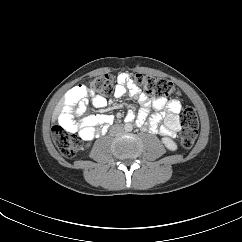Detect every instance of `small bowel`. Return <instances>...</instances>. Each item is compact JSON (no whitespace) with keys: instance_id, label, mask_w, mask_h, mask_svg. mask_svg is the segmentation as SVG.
<instances>
[{"instance_id":"1","label":"small bowel","mask_w":242,"mask_h":242,"mask_svg":"<svg viewBox=\"0 0 242 242\" xmlns=\"http://www.w3.org/2000/svg\"><path fill=\"white\" fill-rule=\"evenodd\" d=\"M127 92L130 96L136 98L143 106L138 114L137 122L143 124L147 115L148 108L152 105L156 110L148 123L151 132L160 130L161 134L174 137L180 129L178 114L182 109L181 102L178 100L166 101L164 98L149 97L142 93L140 89L130 82L125 74L118 76V84L115 87V97L121 98ZM88 96L84 87H76L65 98L62 112L59 116V122L62 126L72 133H78L83 140H91L95 136L104 132V126L112 123L113 118L110 115H92L86 113ZM94 107L101 109L107 105V100L99 95L92 97ZM127 118L132 120L134 114L129 112ZM163 121L164 126L159 129V123ZM100 127V128H98Z\"/></svg>"}]
</instances>
